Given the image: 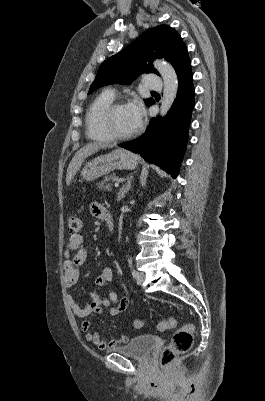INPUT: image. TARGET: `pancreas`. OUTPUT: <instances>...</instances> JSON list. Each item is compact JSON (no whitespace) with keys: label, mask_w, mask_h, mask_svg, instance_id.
I'll use <instances>...</instances> for the list:
<instances>
[{"label":"pancreas","mask_w":265,"mask_h":401,"mask_svg":"<svg viewBox=\"0 0 265 401\" xmlns=\"http://www.w3.org/2000/svg\"><path fill=\"white\" fill-rule=\"evenodd\" d=\"M115 178H118V176H116V172H113V174H107V176H105L101 182H98L99 188H101V190H104V188H106V190H111L112 182H114ZM109 180H112V182H109Z\"/></svg>","instance_id":"pancreas-1"}]
</instances>
